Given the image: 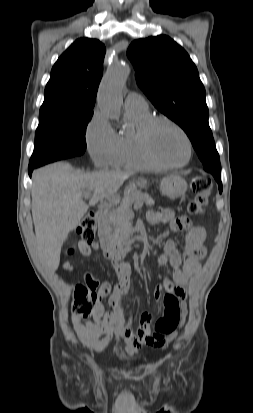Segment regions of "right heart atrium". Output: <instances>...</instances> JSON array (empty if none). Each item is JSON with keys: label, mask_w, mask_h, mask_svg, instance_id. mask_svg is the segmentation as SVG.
<instances>
[{"label": "right heart atrium", "mask_w": 253, "mask_h": 413, "mask_svg": "<svg viewBox=\"0 0 253 413\" xmlns=\"http://www.w3.org/2000/svg\"><path fill=\"white\" fill-rule=\"evenodd\" d=\"M85 138L93 163L97 167L110 165L117 147L118 137L102 112L96 111L93 114L87 126Z\"/></svg>", "instance_id": "right-heart-atrium-1"}]
</instances>
